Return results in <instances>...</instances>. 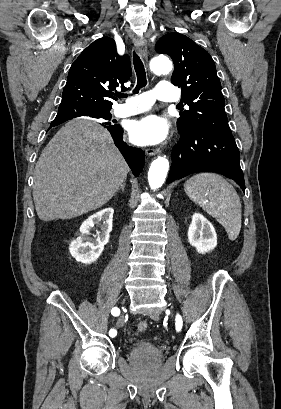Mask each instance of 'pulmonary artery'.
Wrapping results in <instances>:
<instances>
[{"label": "pulmonary artery", "instance_id": "obj_1", "mask_svg": "<svg viewBox=\"0 0 281 409\" xmlns=\"http://www.w3.org/2000/svg\"><path fill=\"white\" fill-rule=\"evenodd\" d=\"M175 81H160L158 90H146L144 94H134L133 102H123L122 107H114L112 114L116 118H124L152 107L155 98L167 103H174L178 97Z\"/></svg>", "mask_w": 281, "mask_h": 409}]
</instances>
